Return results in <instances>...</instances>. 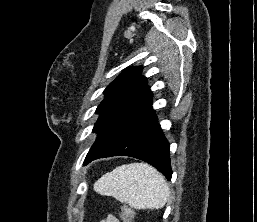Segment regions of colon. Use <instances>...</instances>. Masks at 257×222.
<instances>
[{
    "label": "colon",
    "instance_id": "1",
    "mask_svg": "<svg viewBox=\"0 0 257 222\" xmlns=\"http://www.w3.org/2000/svg\"><path fill=\"white\" fill-rule=\"evenodd\" d=\"M121 218L123 222H132L133 212L127 206L122 207L121 209Z\"/></svg>",
    "mask_w": 257,
    "mask_h": 222
}]
</instances>
